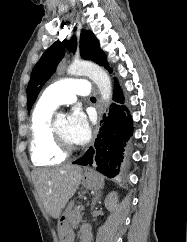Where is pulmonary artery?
<instances>
[{"instance_id":"1","label":"pulmonary artery","mask_w":187,"mask_h":242,"mask_svg":"<svg viewBox=\"0 0 187 242\" xmlns=\"http://www.w3.org/2000/svg\"><path fill=\"white\" fill-rule=\"evenodd\" d=\"M90 83L85 79L67 78L49 85L43 92L40 101L54 108L59 105L75 102L77 95L88 96Z\"/></svg>"}]
</instances>
